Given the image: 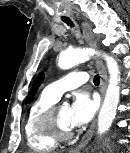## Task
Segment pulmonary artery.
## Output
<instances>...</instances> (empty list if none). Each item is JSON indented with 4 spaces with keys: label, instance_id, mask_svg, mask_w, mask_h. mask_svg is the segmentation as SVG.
I'll return each mask as SVG.
<instances>
[{
    "label": "pulmonary artery",
    "instance_id": "obj_1",
    "mask_svg": "<svg viewBox=\"0 0 130 153\" xmlns=\"http://www.w3.org/2000/svg\"><path fill=\"white\" fill-rule=\"evenodd\" d=\"M88 80V75L84 72H72L65 77L49 84L45 92L59 100L62 94L68 90L77 88Z\"/></svg>",
    "mask_w": 130,
    "mask_h": 153
}]
</instances>
